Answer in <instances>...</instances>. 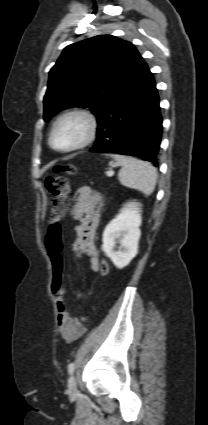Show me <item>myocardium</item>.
Listing matches in <instances>:
<instances>
[{"mask_svg": "<svg viewBox=\"0 0 208 425\" xmlns=\"http://www.w3.org/2000/svg\"><path fill=\"white\" fill-rule=\"evenodd\" d=\"M70 118H80V119H82L85 123V126H86L85 133H84V135H83V137L80 141H78L77 143H75L71 146L64 147V148L56 147L53 143L55 132H56L58 126L63 121L70 119ZM98 131H99V122H98L97 117L92 112L85 110V109H80V108L71 109V110H68V111L62 113L53 123V126H52L51 131H50V135H49V144L54 150L59 151V152L77 151V150L83 149V148L89 146L90 144H92L98 136Z\"/></svg>", "mask_w": 208, "mask_h": 425, "instance_id": "1", "label": "myocardium"}]
</instances>
